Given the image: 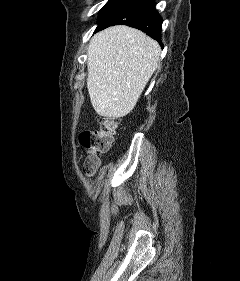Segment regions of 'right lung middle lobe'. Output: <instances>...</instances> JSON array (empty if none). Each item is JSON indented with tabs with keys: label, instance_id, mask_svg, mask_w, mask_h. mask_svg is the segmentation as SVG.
<instances>
[{
	"label": "right lung middle lobe",
	"instance_id": "1",
	"mask_svg": "<svg viewBox=\"0 0 240 281\" xmlns=\"http://www.w3.org/2000/svg\"><path fill=\"white\" fill-rule=\"evenodd\" d=\"M122 0H109L108 3L101 9L98 23H100L108 13H110Z\"/></svg>",
	"mask_w": 240,
	"mask_h": 281
}]
</instances>
